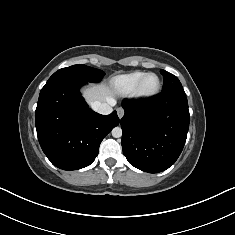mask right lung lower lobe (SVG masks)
Segmentation results:
<instances>
[{
  "instance_id": "right-lung-lower-lobe-1",
  "label": "right lung lower lobe",
  "mask_w": 235,
  "mask_h": 235,
  "mask_svg": "<svg viewBox=\"0 0 235 235\" xmlns=\"http://www.w3.org/2000/svg\"><path fill=\"white\" fill-rule=\"evenodd\" d=\"M81 79H56L42 88L35 112L40 146L53 165L63 170L89 166L103 138L119 124L116 111L101 115L91 110L79 88Z\"/></svg>"
}]
</instances>
